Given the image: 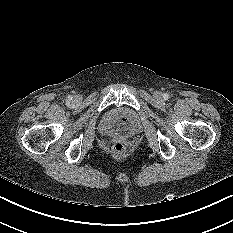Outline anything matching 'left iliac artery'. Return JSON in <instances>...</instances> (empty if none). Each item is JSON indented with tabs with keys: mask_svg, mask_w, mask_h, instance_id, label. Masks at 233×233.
<instances>
[{
	"mask_svg": "<svg viewBox=\"0 0 233 233\" xmlns=\"http://www.w3.org/2000/svg\"><path fill=\"white\" fill-rule=\"evenodd\" d=\"M164 99L167 100L169 98V95L168 94H164Z\"/></svg>",
	"mask_w": 233,
	"mask_h": 233,
	"instance_id": "obj_1",
	"label": "left iliac artery"
}]
</instances>
